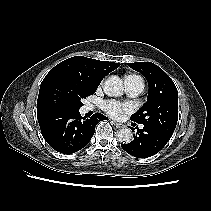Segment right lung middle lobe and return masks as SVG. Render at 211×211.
I'll return each mask as SVG.
<instances>
[{
	"instance_id": "dd1d6c3e",
	"label": "right lung middle lobe",
	"mask_w": 211,
	"mask_h": 211,
	"mask_svg": "<svg viewBox=\"0 0 211 211\" xmlns=\"http://www.w3.org/2000/svg\"><path fill=\"white\" fill-rule=\"evenodd\" d=\"M96 89L88 88L76 80L53 76L41 83L37 110L43 114L55 110H79L82 99L95 93Z\"/></svg>"
}]
</instances>
